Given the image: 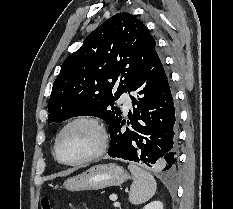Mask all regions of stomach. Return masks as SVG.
Masks as SVG:
<instances>
[{
    "label": "stomach",
    "mask_w": 233,
    "mask_h": 209,
    "mask_svg": "<svg viewBox=\"0 0 233 209\" xmlns=\"http://www.w3.org/2000/svg\"><path fill=\"white\" fill-rule=\"evenodd\" d=\"M128 177V173L116 164H99L68 178L64 187L70 191L99 190L108 186H119Z\"/></svg>",
    "instance_id": "obj_1"
}]
</instances>
